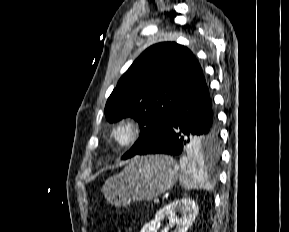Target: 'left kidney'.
<instances>
[{"mask_svg": "<svg viewBox=\"0 0 289 232\" xmlns=\"http://www.w3.org/2000/svg\"><path fill=\"white\" fill-rule=\"evenodd\" d=\"M177 212L181 214L180 218L176 215ZM197 215L198 205L194 200L188 198L178 199L160 209L156 213L155 219L146 223L140 232H156L160 221L165 217H169L170 227L176 225L173 232H187Z\"/></svg>", "mask_w": 289, "mask_h": 232, "instance_id": "1", "label": "left kidney"}]
</instances>
